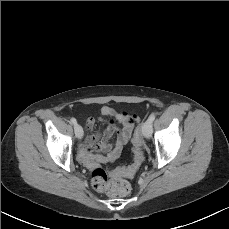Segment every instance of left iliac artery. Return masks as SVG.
<instances>
[{
  "mask_svg": "<svg viewBox=\"0 0 229 229\" xmlns=\"http://www.w3.org/2000/svg\"><path fill=\"white\" fill-rule=\"evenodd\" d=\"M155 117H156V115H155L154 113H152V114L149 116V120H150L151 122H153V121L155 120Z\"/></svg>",
  "mask_w": 229,
  "mask_h": 229,
  "instance_id": "obj_1",
  "label": "left iliac artery"
}]
</instances>
